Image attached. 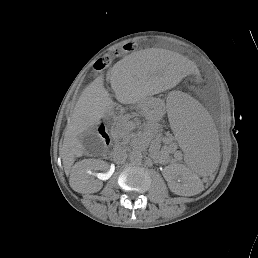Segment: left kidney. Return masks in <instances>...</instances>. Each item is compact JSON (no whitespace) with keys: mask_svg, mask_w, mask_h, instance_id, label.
<instances>
[{"mask_svg":"<svg viewBox=\"0 0 258 258\" xmlns=\"http://www.w3.org/2000/svg\"><path fill=\"white\" fill-rule=\"evenodd\" d=\"M190 175L188 172L184 175V179L186 180L187 184L181 185V184H176L173 187V192L177 195H182V196H191L194 195L195 193L191 189V182H190Z\"/></svg>","mask_w":258,"mask_h":258,"instance_id":"1","label":"left kidney"}]
</instances>
